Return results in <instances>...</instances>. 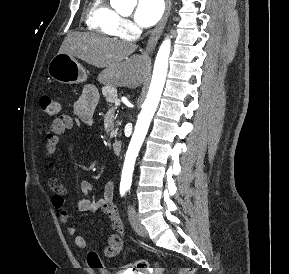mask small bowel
<instances>
[{
	"label": "small bowel",
	"mask_w": 289,
	"mask_h": 274,
	"mask_svg": "<svg viewBox=\"0 0 289 274\" xmlns=\"http://www.w3.org/2000/svg\"><path fill=\"white\" fill-rule=\"evenodd\" d=\"M99 100V93L94 86H87L83 93L74 103L75 120L69 115H61L54 119L49 127L45 142V161L48 168V185L52 191L51 203L57 211L61 223L67 225V233L75 236V244L79 248L87 247V239L82 235H77V229L68 225L69 213L65 208V197L67 189L62 182L54 176L55 155L60 142V136L71 130L74 124L91 125L93 114ZM82 197L77 202V208L81 212L101 211L111 221L113 233L108 237L107 246L104 254L107 257H114L121 252L125 242L124 226L120 219L119 212L115 206L114 182L108 180L104 186L103 194L100 198L93 196V186L88 181H82L80 184Z\"/></svg>",
	"instance_id": "obj_1"
}]
</instances>
